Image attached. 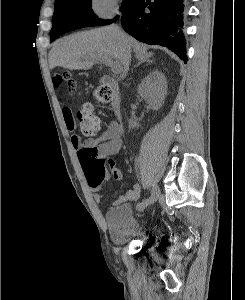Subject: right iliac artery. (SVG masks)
<instances>
[{
	"label": "right iliac artery",
	"mask_w": 245,
	"mask_h": 300,
	"mask_svg": "<svg viewBox=\"0 0 245 300\" xmlns=\"http://www.w3.org/2000/svg\"><path fill=\"white\" fill-rule=\"evenodd\" d=\"M147 200V199H146ZM146 202V201H145ZM139 205H143L144 203L142 202V201H139V203H138Z\"/></svg>",
	"instance_id": "obj_1"
}]
</instances>
